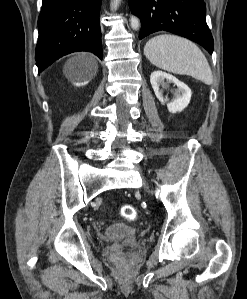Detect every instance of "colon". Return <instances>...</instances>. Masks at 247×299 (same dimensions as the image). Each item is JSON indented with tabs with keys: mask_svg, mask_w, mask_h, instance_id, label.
<instances>
[{
	"mask_svg": "<svg viewBox=\"0 0 247 299\" xmlns=\"http://www.w3.org/2000/svg\"><path fill=\"white\" fill-rule=\"evenodd\" d=\"M121 215L123 218L127 220H134L137 216V211L134 206L132 205H124L121 208ZM132 246L131 245H125L120 250V257L123 262L128 263L130 261V257L132 254Z\"/></svg>",
	"mask_w": 247,
	"mask_h": 299,
	"instance_id": "1",
	"label": "colon"
}]
</instances>
